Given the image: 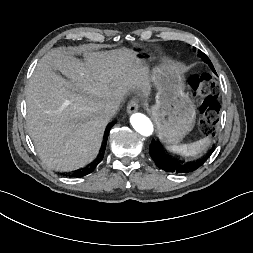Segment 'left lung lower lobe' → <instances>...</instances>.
Instances as JSON below:
<instances>
[{
    "mask_svg": "<svg viewBox=\"0 0 253 253\" xmlns=\"http://www.w3.org/2000/svg\"><path fill=\"white\" fill-rule=\"evenodd\" d=\"M199 56L206 63H208L212 71L216 73L209 58L205 54H201L200 51H199ZM150 155L158 168L163 169L166 172L183 174V173H191L197 170L209 158V156L211 155V152H209L205 157L196 161H191V162H186V163L178 162L174 159L168 158L163 152H161L157 144L155 142H152V144L150 145Z\"/></svg>",
    "mask_w": 253,
    "mask_h": 253,
    "instance_id": "left-lung-lower-lobe-1",
    "label": "left lung lower lobe"
}]
</instances>
